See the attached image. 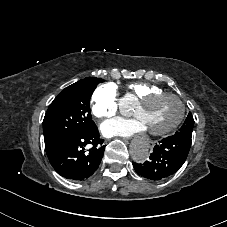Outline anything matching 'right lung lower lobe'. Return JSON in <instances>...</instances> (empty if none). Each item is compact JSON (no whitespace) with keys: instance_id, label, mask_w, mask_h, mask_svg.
Segmentation results:
<instances>
[{"instance_id":"98d812e1","label":"right lung lower lobe","mask_w":227,"mask_h":227,"mask_svg":"<svg viewBox=\"0 0 227 227\" xmlns=\"http://www.w3.org/2000/svg\"><path fill=\"white\" fill-rule=\"evenodd\" d=\"M102 143L94 125L59 137L45 145V150L58 174L71 180H83L98 169L105 149L100 146ZM87 145H92L88 152L85 151Z\"/></svg>"}]
</instances>
